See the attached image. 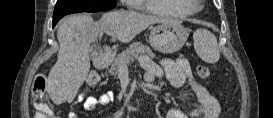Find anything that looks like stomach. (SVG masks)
Segmentation results:
<instances>
[{"label": "stomach", "instance_id": "stomach-1", "mask_svg": "<svg viewBox=\"0 0 273 118\" xmlns=\"http://www.w3.org/2000/svg\"><path fill=\"white\" fill-rule=\"evenodd\" d=\"M188 35L187 29L180 23H160L151 28L149 42L155 50L172 54L182 48Z\"/></svg>", "mask_w": 273, "mask_h": 118}]
</instances>
